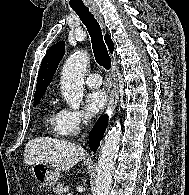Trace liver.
Masks as SVG:
<instances>
[{
	"instance_id": "liver-1",
	"label": "liver",
	"mask_w": 189,
	"mask_h": 195,
	"mask_svg": "<svg viewBox=\"0 0 189 195\" xmlns=\"http://www.w3.org/2000/svg\"><path fill=\"white\" fill-rule=\"evenodd\" d=\"M85 151L75 143L49 137L30 140L24 151V162L28 165L49 163L58 171H67L85 158Z\"/></svg>"
}]
</instances>
